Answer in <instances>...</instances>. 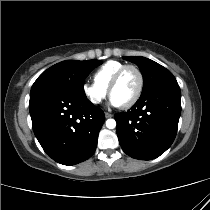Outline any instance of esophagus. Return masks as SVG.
<instances>
[{
  "label": "esophagus",
  "mask_w": 210,
  "mask_h": 210,
  "mask_svg": "<svg viewBox=\"0 0 210 210\" xmlns=\"http://www.w3.org/2000/svg\"><path fill=\"white\" fill-rule=\"evenodd\" d=\"M113 115L112 114H110V113H108V112H105V117L106 118H111Z\"/></svg>",
  "instance_id": "esophagus-1"
}]
</instances>
